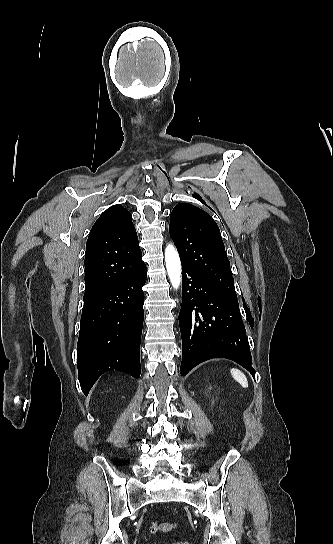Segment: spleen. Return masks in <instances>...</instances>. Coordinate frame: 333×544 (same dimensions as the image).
I'll return each mask as SVG.
<instances>
[{
    "label": "spleen",
    "mask_w": 333,
    "mask_h": 544,
    "mask_svg": "<svg viewBox=\"0 0 333 544\" xmlns=\"http://www.w3.org/2000/svg\"><path fill=\"white\" fill-rule=\"evenodd\" d=\"M230 372L234 380H236L243 388L248 387V381L243 372H241L240 370L236 368H232Z\"/></svg>",
    "instance_id": "spleen-1"
}]
</instances>
